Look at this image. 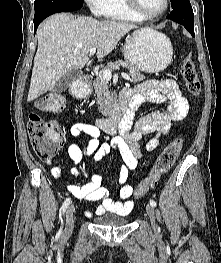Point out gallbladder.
<instances>
[{
	"instance_id": "gallbladder-1",
	"label": "gallbladder",
	"mask_w": 221,
	"mask_h": 263,
	"mask_svg": "<svg viewBox=\"0 0 221 263\" xmlns=\"http://www.w3.org/2000/svg\"><path fill=\"white\" fill-rule=\"evenodd\" d=\"M81 72L79 70H71L62 76L55 84L52 91L54 93H62L66 91L71 84L80 77Z\"/></svg>"
}]
</instances>
